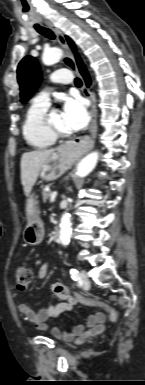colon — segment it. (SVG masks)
<instances>
[{"mask_svg":"<svg viewBox=\"0 0 145 385\" xmlns=\"http://www.w3.org/2000/svg\"><path fill=\"white\" fill-rule=\"evenodd\" d=\"M32 273L31 270L24 265H19L14 270V282L15 286L18 290H25L28 285L31 282ZM56 292L65 295L64 290L61 287L56 288ZM81 299V303L87 306H93L98 307L106 311L109 315V318L112 322H117L118 320V312L117 310L112 307L111 305L107 304L106 302L95 300V299H87L83 298L82 296H79Z\"/></svg>","mask_w":145,"mask_h":385,"instance_id":"5ec220e1","label":"colon"}]
</instances>
